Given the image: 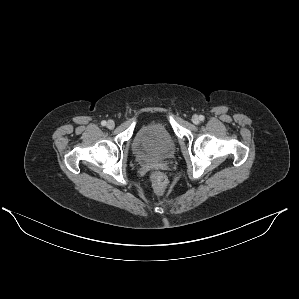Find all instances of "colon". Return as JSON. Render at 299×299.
Segmentation results:
<instances>
[{
  "label": "colon",
  "mask_w": 299,
  "mask_h": 299,
  "mask_svg": "<svg viewBox=\"0 0 299 299\" xmlns=\"http://www.w3.org/2000/svg\"><path fill=\"white\" fill-rule=\"evenodd\" d=\"M151 185L156 195H162L167 187V178L161 172H153L150 176Z\"/></svg>",
  "instance_id": "obj_1"
}]
</instances>
